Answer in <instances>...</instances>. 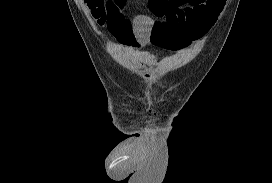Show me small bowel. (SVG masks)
<instances>
[{
    "mask_svg": "<svg viewBox=\"0 0 272 183\" xmlns=\"http://www.w3.org/2000/svg\"><path fill=\"white\" fill-rule=\"evenodd\" d=\"M224 3L225 0H150L156 20L147 15L129 19L125 15L127 0H107L108 27L116 40L127 47L138 49L151 43L176 50L205 35Z\"/></svg>",
    "mask_w": 272,
    "mask_h": 183,
    "instance_id": "c3829d8e",
    "label": "small bowel"
}]
</instances>
